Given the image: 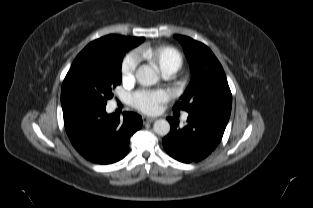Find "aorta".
Instances as JSON below:
<instances>
[{
    "label": "aorta",
    "instance_id": "1",
    "mask_svg": "<svg viewBox=\"0 0 313 208\" xmlns=\"http://www.w3.org/2000/svg\"><path fill=\"white\" fill-rule=\"evenodd\" d=\"M136 79L143 86H151L159 81L157 73L147 65H142L137 69ZM153 130L160 136H166L170 132V124L165 119L156 120Z\"/></svg>",
    "mask_w": 313,
    "mask_h": 208
}]
</instances>
